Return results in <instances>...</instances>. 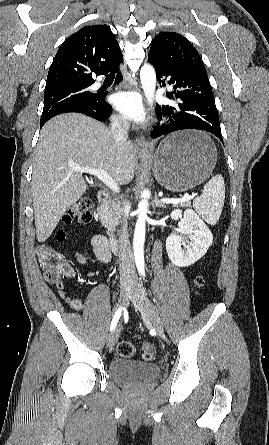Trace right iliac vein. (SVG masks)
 <instances>
[{"instance_id":"1","label":"right iliac vein","mask_w":269,"mask_h":445,"mask_svg":"<svg viewBox=\"0 0 269 445\" xmlns=\"http://www.w3.org/2000/svg\"><path fill=\"white\" fill-rule=\"evenodd\" d=\"M134 293L133 288L131 287H124L121 290L120 293V302L122 305L127 306L129 303V300L131 299L132 295ZM120 335V327L117 326L112 333L110 334L108 341H107V347L112 348L116 342L118 341Z\"/></svg>"}]
</instances>
